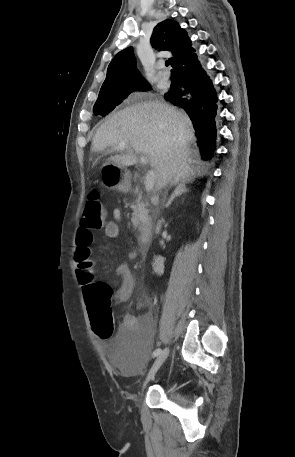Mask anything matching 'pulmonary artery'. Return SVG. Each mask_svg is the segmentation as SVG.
I'll use <instances>...</instances> for the list:
<instances>
[{"mask_svg": "<svg viewBox=\"0 0 295 457\" xmlns=\"http://www.w3.org/2000/svg\"><path fill=\"white\" fill-rule=\"evenodd\" d=\"M160 77L162 80L167 81L170 79V73L166 70H161L160 71Z\"/></svg>", "mask_w": 295, "mask_h": 457, "instance_id": "pulmonary-artery-1", "label": "pulmonary artery"}]
</instances>
